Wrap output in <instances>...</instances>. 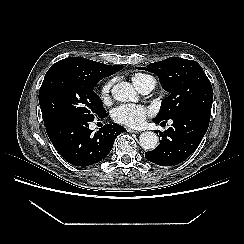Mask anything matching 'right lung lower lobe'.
<instances>
[{"label": "right lung lower lobe", "instance_id": "1", "mask_svg": "<svg viewBox=\"0 0 244 244\" xmlns=\"http://www.w3.org/2000/svg\"><path fill=\"white\" fill-rule=\"evenodd\" d=\"M90 122L66 119L45 125L53 146L72 165L85 167L102 161L111 151L116 137L126 131L113 123L92 133L88 126Z\"/></svg>", "mask_w": 244, "mask_h": 244}]
</instances>
